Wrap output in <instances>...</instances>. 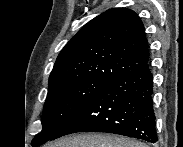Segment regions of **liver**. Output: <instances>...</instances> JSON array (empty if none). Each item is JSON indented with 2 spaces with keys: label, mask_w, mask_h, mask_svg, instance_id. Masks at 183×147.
<instances>
[{
  "label": "liver",
  "mask_w": 183,
  "mask_h": 147,
  "mask_svg": "<svg viewBox=\"0 0 183 147\" xmlns=\"http://www.w3.org/2000/svg\"><path fill=\"white\" fill-rule=\"evenodd\" d=\"M49 147H147L141 142L109 134H78L49 144Z\"/></svg>",
  "instance_id": "liver-1"
}]
</instances>
